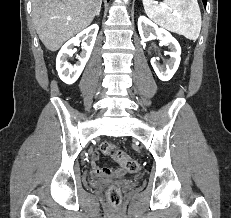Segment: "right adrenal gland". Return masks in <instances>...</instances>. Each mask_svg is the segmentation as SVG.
I'll use <instances>...</instances> for the list:
<instances>
[{
    "label": "right adrenal gland",
    "mask_w": 231,
    "mask_h": 218,
    "mask_svg": "<svg viewBox=\"0 0 231 218\" xmlns=\"http://www.w3.org/2000/svg\"><path fill=\"white\" fill-rule=\"evenodd\" d=\"M100 11H101V7L99 8V10H98L96 16H99V15H100Z\"/></svg>",
    "instance_id": "1"
}]
</instances>
